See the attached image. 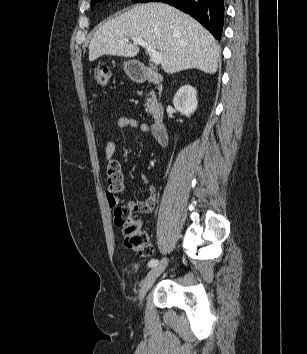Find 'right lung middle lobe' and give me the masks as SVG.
Listing matches in <instances>:
<instances>
[{"mask_svg":"<svg viewBox=\"0 0 307 354\" xmlns=\"http://www.w3.org/2000/svg\"><path fill=\"white\" fill-rule=\"evenodd\" d=\"M100 0H92L91 1V6H94L96 2H98ZM134 1H138V2H148V1H157V0H134Z\"/></svg>","mask_w":307,"mask_h":354,"instance_id":"1","label":"right lung middle lobe"}]
</instances>
